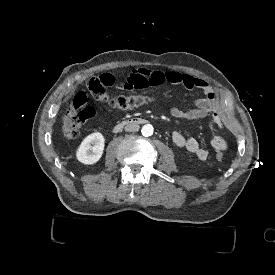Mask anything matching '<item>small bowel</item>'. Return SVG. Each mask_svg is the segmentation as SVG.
Wrapping results in <instances>:
<instances>
[{
	"instance_id": "small-bowel-1",
	"label": "small bowel",
	"mask_w": 275,
	"mask_h": 275,
	"mask_svg": "<svg viewBox=\"0 0 275 275\" xmlns=\"http://www.w3.org/2000/svg\"><path fill=\"white\" fill-rule=\"evenodd\" d=\"M101 80L105 86L116 87L118 85V80L112 73H103ZM164 84L183 85L186 88H196L203 92V97L195 101L193 108L183 110L179 107H173L170 111L173 117L184 120H198L211 115L217 125L224 127L223 107L218 99V94L204 80L194 79L188 74L173 70L160 71L138 68L132 71L122 87L126 90H133ZM172 142L179 148H185L199 160L205 161L209 157V151L196 139L186 138L180 132L173 133ZM210 144L218 152L228 148L227 140L221 136H214Z\"/></svg>"
}]
</instances>
